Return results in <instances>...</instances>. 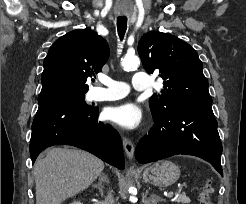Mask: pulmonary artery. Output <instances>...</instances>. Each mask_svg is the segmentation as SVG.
Returning <instances> with one entry per match:
<instances>
[{
    "label": "pulmonary artery",
    "mask_w": 246,
    "mask_h": 204,
    "mask_svg": "<svg viewBox=\"0 0 246 204\" xmlns=\"http://www.w3.org/2000/svg\"><path fill=\"white\" fill-rule=\"evenodd\" d=\"M105 87H95L89 93L91 101H112L125 97L129 92V86L121 81L113 80L109 77L99 79ZM149 76L145 72H136L132 77L134 89L142 91L149 88Z\"/></svg>",
    "instance_id": "1"
}]
</instances>
